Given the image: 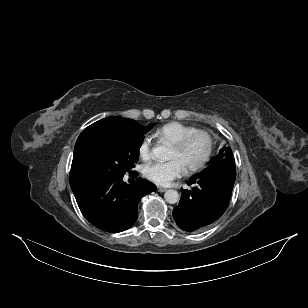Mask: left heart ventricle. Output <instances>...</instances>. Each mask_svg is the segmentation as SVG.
Wrapping results in <instances>:
<instances>
[{"label": "left heart ventricle", "instance_id": "1", "mask_svg": "<svg viewBox=\"0 0 308 308\" xmlns=\"http://www.w3.org/2000/svg\"><path fill=\"white\" fill-rule=\"evenodd\" d=\"M207 149V140L204 136L195 137L189 145L183 150H177L173 146L170 149L168 158L179 159L185 168L197 163L205 154Z\"/></svg>", "mask_w": 308, "mask_h": 308}]
</instances>
